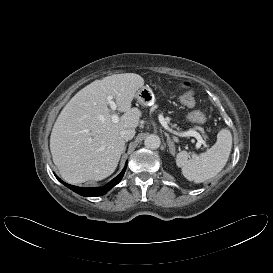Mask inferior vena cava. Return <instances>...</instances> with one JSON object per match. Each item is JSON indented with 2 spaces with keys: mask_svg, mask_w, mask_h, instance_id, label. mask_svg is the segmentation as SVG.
Masks as SVG:
<instances>
[{
  "mask_svg": "<svg viewBox=\"0 0 273 273\" xmlns=\"http://www.w3.org/2000/svg\"><path fill=\"white\" fill-rule=\"evenodd\" d=\"M135 135V130L134 129H125L120 132V136L128 141L131 140Z\"/></svg>",
  "mask_w": 273,
  "mask_h": 273,
  "instance_id": "602c4592",
  "label": "inferior vena cava"
}]
</instances>
